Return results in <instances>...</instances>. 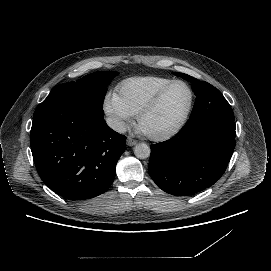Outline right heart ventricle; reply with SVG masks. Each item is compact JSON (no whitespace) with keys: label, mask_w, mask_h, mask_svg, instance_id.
Returning a JSON list of instances; mask_svg holds the SVG:
<instances>
[{"label":"right heart ventricle","mask_w":271,"mask_h":271,"mask_svg":"<svg viewBox=\"0 0 271 271\" xmlns=\"http://www.w3.org/2000/svg\"><path fill=\"white\" fill-rule=\"evenodd\" d=\"M173 80L160 75L128 78L118 85V96L131 116L136 117Z\"/></svg>","instance_id":"obj_1"}]
</instances>
